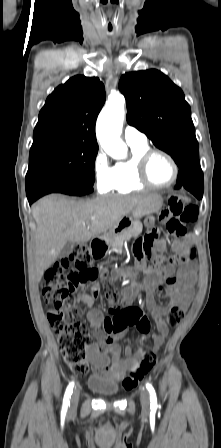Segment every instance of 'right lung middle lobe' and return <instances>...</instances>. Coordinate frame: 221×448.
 <instances>
[{"label": "right lung middle lobe", "mask_w": 221, "mask_h": 448, "mask_svg": "<svg viewBox=\"0 0 221 448\" xmlns=\"http://www.w3.org/2000/svg\"><path fill=\"white\" fill-rule=\"evenodd\" d=\"M98 145L61 142L33 147L26 180L50 177L75 186H92Z\"/></svg>", "instance_id": "1"}]
</instances>
